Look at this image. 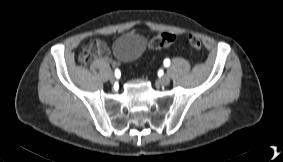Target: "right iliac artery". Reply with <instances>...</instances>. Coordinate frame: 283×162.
<instances>
[{
	"label": "right iliac artery",
	"mask_w": 283,
	"mask_h": 162,
	"mask_svg": "<svg viewBox=\"0 0 283 162\" xmlns=\"http://www.w3.org/2000/svg\"><path fill=\"white\" fill-rule=\"evenodd\" d=\"M120 73H121V72H120L118 69L115 71L116 79H117V80L120 78V77H119Z\"/></svg>",
	"instance_id": "1"
}]
</instances>
